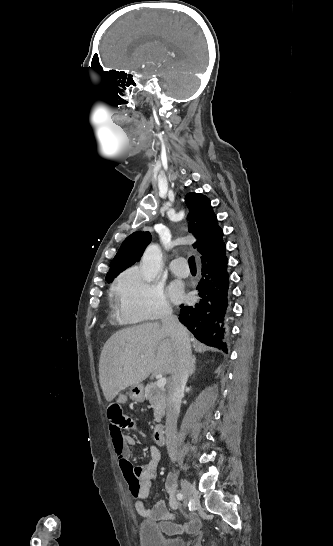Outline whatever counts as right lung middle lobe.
Segmentation results:
<instances>
[{"label": "right lung middle lobe", "instance_id": "obj_1", "mask_svg": "<svg viewBox=\"0 0 333 546\" xmlns=\"http://www.w3.org/2000/svg\"><path fill=\"white\" fill-rule=\"evenodd\" d=\"M121 271H122V270H121ZM121 271H119V272H114V273H111V274L107 275V276H106L107 282H108V283H111V282L114 280V278L117 277V276L119 275V273H120Z\"/></svg>", "mask_w": 333, "mask_h": 546}]
</instances>
